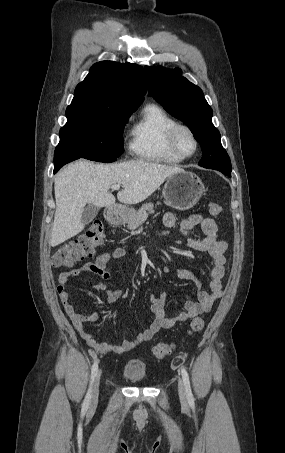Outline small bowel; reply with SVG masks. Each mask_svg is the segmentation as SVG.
I'll use <instances>...</instances> for the list:
<instances>
[{"label": "small bowel", "mask_w": 285, "mask_h": 453, "mask_svg": "<svg viewBox=\"0 0 285 453\" xmlns=\"http://www.w3.org/2000/svg\"><path fill=\"white\" fill-rule=\"evenodd\" d=\"M176 218L173 213H166L163 217L165 227L171 228L175 225ZM200 226L204 237L196 239L189 236V231ZM218 227L216 222L208 217H203L200 214H192L180 223L179 232L184 238L185 244L194 250L206 253L212 260L210 269V281L208 290L200 289V285L191 272L186 269H176V274L180 279L188 280L196 285L197 301H187L185 303V311L180 312L176 316L167 317L165 312V302L167 292H162L159 296L151 297V312L154 316L152 324L144 331L138 333L132 339H124L118 344H109L96 339L85 327V323L96 322L99 318L97 312L88 314H80L76 307L70 302V293L66 290L65 284L73 277L79 276L84 272H89L98 277L92 287L96 292L106 294L107 303L113 304L122 297V290L109 289L105 281L111 279L112 264L121 259L125 255L123 248H115L111 252H105L97 255L93 263H87L80 268L66 270L60 273L58 277L57 292L63 304L64 310L71 319L75 329L80 334L81 338L97 353L107 354H122L131 351L138 344L149 341L152 337L162 329H169L178 323L185 322L190 318L210 311L213 304L218 301L222 295V280L225 275L226 251L228 244L224 240L217 238Z\"/></svg>", "instance_id": "1"}]
</instances>
